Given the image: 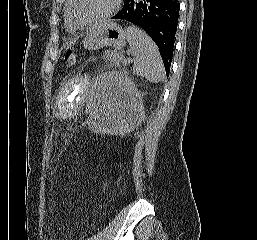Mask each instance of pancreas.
<instances>
[{
	"mask_svg": "<svg viewBox=\"0 0 257 240\" xmlns=\"http://www.w3.org/2000/svg\"><path fill=\"white\" fill-rule=\"evenodd\" d=\"M121 56H123L120 53H117L116 51H106L104 57L107 58L108 62L110 63V65L112 66H120V64L122 63V61L119 59Z\"/></svg>",
	"mask_w": 257,
	"mask_h": 240,
	"instance_id": "pancreas-1",
	"label": "pancreas"
}]
</instances>
